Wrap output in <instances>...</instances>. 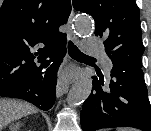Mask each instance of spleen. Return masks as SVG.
<instances>
[{"instance_id":"3e777b00","label":"spleen","mask_w":151,"mask_h":131,"mask_svg":"<svg viewBox=\"0 0 151 131\" xmlns=\"http://www.w3.org/2000/svg\"><path fill=\"white\" fill-rule=\"evenodd\" d=\"M118 131H137V130L132 129V128H121V129H118Z\"/></svg>"}]
</instances>
